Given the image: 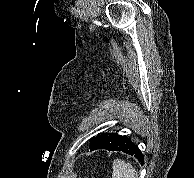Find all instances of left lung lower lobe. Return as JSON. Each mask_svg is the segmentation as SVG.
I'll use <instances>...</instances> for the list:
<instances>
[{"mask_svg":"<svg viewBox=\"0 0 194 178\" xmlns=\"http://www.w3.org/2000/svg\"><path fill=\"white\" fill-rule=\"evenodd\" d=\"M91 150L106 149L109 151H122L136 157L141 163L144 162V156L130 139L126 136H120L116 133L102 134L90 139Z\"/></svg>","mask_w":194,"mask_h":178,"instance_id":"left-lung-lower-lobe-1","label":"left lung lower lobe"}]
</instances>
